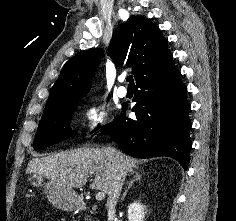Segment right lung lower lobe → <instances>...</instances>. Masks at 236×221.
<instances>
[{"mask_svg":"<svg viewBox=\"0 0 236 221\" xmlns=\"http://www.w3.org/2000/svg\"><path fill=\"white\" fill-rule=\"evenodd\" d=\"M136 101L132 111L136 119L125 114L106 125L103 134L113 135L124 153L137 158L168 156L186 170L191 140L188 117L190 105L187 87L174 67L172 57L153 73L136 82ZM124 110L127 105L123 104Z\"/></svg>","mask_w":236,"mask_h":221,"instance_id":"right-lung-lower-lobe-1","label":"right lung lower lobe"}]
</instances>
